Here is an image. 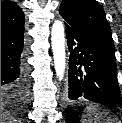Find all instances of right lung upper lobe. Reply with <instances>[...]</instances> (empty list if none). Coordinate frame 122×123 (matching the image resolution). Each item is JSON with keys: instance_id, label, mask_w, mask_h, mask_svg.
<instances>
[{"instance_id": "1", "label": "right lung upper lobe", "mask_w": 122, "mask_h": 123, "mask_svg": "<svg viewBox=\"0 0 122 123\" xmlns=\"http://www.w3.org/2000/svg\"><path fill=\"white\" fill-rule=\"evenodd\" d=\"M25 17L22 9L14 2H1V27L24 28Z\"/></svg>"}]
</instances>
